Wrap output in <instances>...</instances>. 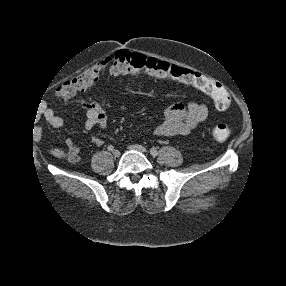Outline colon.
I'll return each mask as SVG.
<instances>
[{"label": "colon", "mask_w": 286, "mask_h": 286, "mask_svg": "<svg viewBox=\"0 0 286 286\" xmlns=\"http://www.w3.org/2000/svg\"><path fill=\"white\" fill-rule=\"evenodd\" d=\"M128 73L144 74L158 79H174L192 84L210 95L217 110L226 111L231 106L230 96L222 84L195 71L171 66L163 61L128 50L116 52L113 56L63 83L57 89L56 97L61 101H68L104 74L117 76ZM211 135L214 140L225 142L231 136V129L226 124H216L211 130Z\"/></svg>", "instance_id": "1"}]
</instances>
